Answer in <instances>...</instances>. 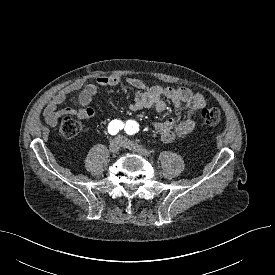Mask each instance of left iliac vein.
<instances>
[{
  "label": "left iliac vein",
  "instance_id": "4c4485c4",
  "mask_svg": "<svg viewBox=\"0 0 275 275\" xmlns=\"http://www.w3.org/2000/svg\"><path fill=\"white\" fill-rule=\"evenodd\" d=\"M120 139H121L122 147L127 148L129 150H133L143 156H150V153L140 145L132 141H129L125 138H120Z\"/></svg>",
  "mask_w": 275,
  "mask_h": 275
}]
</instances>
